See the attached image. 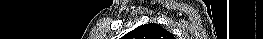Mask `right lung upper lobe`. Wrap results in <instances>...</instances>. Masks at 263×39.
<instances>
[{"label":"right lung upper lobe","mask_w":263,"mask_h":39,"mask_svg":"<svg viewBox=\"0 0 263 39\" xmlns=\"http://www.w3.org/2000/svg\"><path fill=\"white\" fill-rule=\"evenodd\" d=\"M125 38L128 39H173V35L158 24L142 25L131 32L127 33Z\"/></svg>","instance_id":"1"}]
</instances>
